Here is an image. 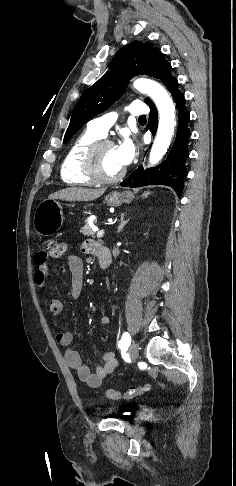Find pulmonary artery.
<instances>
[{"instance_id": "pulmonary-artery-1", "label": "pulmonary artery", "mask_w": 236, "mask_h": 486, "mask_svg": "<svg viewBox=\"0 0 236 486\" xmlns=\"http://www.w3.org/2000/svg\"><path fill=\"white\" fill-rule=\"evenodd\" d=\"M128 112L132 116H144L149 112V108L141 101H134L129 105ZM115 120L116 115L114 113H109L92 119L88 122L87 127L101 137H105Z\"/></svg>"}]
</instances>
